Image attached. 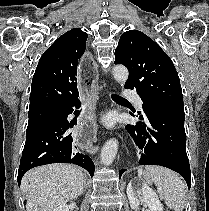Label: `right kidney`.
<instances>
[{"label":"right kidney","mask_w":209,"mask_h":211,"mask_svg":"<svg viewBox=\"0 0 209 211\" xmlns=\"http://www.w3.org/2000/svg\"><path fill=\"white\" fill-rule=\"evenodd\" d=\"M54 211H69L68 205L61 204L57 208L54 209Z\"/></svg>","instance_id":"obj_1"}]
</instances>
